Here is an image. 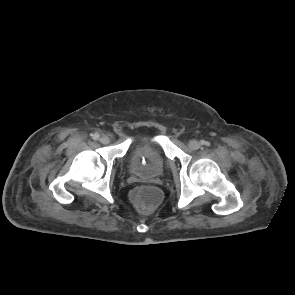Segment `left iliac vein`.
<instances>
[{"instance_id": "4c4485c4", "label": "left iliac vein", "mask_w": 295, "mask_h": 295, "mask_svg": "<svg viewBox=\"0 0 295 295\" xmlns=\"http://www.w3.org/2000/svg\"><path fill=\"white\" fill-rule=\"evenodd\" d=\"M188 146L192 150H196V149L200 148V143L196 140H191V141H189Z\"/></svg>"}]
</instances>
